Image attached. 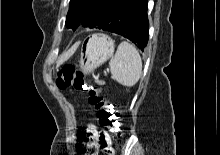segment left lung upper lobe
Instances as JSON below:
<instances>
[{
    "label": "left lung upper lobe",
    "instance_id": "1",
    "mask_svg": "<svg viewBox=\"0 0 220 155\" xmlns=\"http://www.w3.org/2000/svg\"><path fill=\"white\" fill-rule=\"evenodd\" d=\"M97 0H71L66 17V27L75 30L81 23L84 15Z\"/></svg>",
    "mask_w": 220,
    "mask_h": 155
}]
</instances>
